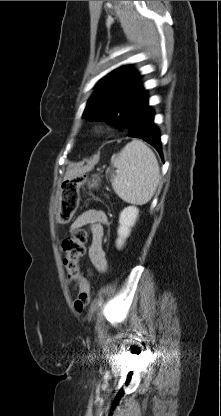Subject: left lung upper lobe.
<instances>
[{
  "label": "left lung upper lobe",
  "mask_w": 221,
  "mask_h": 416,
  "mask_svg": "<svg viewBox=\"0 0 221 416\" xmlns=\"http://www.w3.org/2000/svg\"><path fill=\"white\" fill-rule=\"evenodd\" d=\"M140 77L129 65L105 76L98 82L97 90L88 100L83 117L107 120L128 130L137 107L147 98L146 90L138 82Z\"/></svg>",
  "instance_id": "1"
}]
</instances>
